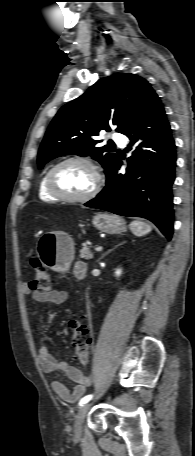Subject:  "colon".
Listing matches in <instances>:
<instances>
[{
  "label": "colon",
  "mask_w": 195,
  "mask_h": 456,
  "mask_svg": "<svg viewBox=\"0 0 195 456\" xmlns=\"http://www.w3.org/2000/svg\"><path fill=\"white\" fill-rule=\"evenodd\" d=\"M30 264L35 274L29 286L33 290L50 292L52 289V282L45 266L35 256L31 257ZM68 325L72 333L71 342L74 348L75 358L82 363L87 364L92 344L91 332L82 317H71L68 321Z\"/></svg>",
  "instance_id": "5ec220e1"
}]
</instances>
